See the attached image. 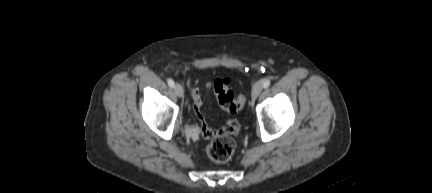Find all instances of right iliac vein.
<instances>
[{
  "mask_svg": "<svg viewBox=\"0 0 432 193\" xmlns=\"http://www.w3.org/2000/svg\"><path fill=\"white\" fill-rule=\"evenodd\" d=\"M174 91H175V94H176L179 98H182V97H183V95H184V90H183V87H182L179 83H176V84L174 85Z\"/></svg>",
  "mask_w": 432,
  "mask_h": 193,
  "instance_id": "obj_1",
  "label": "right iliac vein"
}]
</instances>
